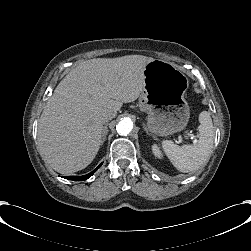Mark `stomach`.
<instances>
[{
	"label": "stomach",
	"mask_w": 251,
	"mask_h": 251,
	"mask_svg": "<svg viewBox=\"0 0 251 251\" xmlns=\"http://www.w3.org/2000/svg\"><path fill=\"white\" fill-rule=\"evenodd\" d=\"M144 81L139 105L148 114V129L159 135L182 130L189 119L188 78L172 63L154 59L144 67Z\"/></svg>",
	"instance_id": "stomach-1"
}]
</instances>
